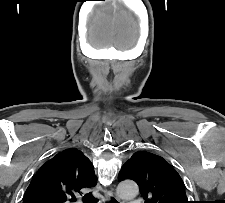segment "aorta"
Masks as SVG:
<instances>
[{"label": "aorta", "instance_id": "obj_1", "mask_svg": "<svg viewBox=\"0 0 225 203\" xmlns=\"http://www.w3.org/2000/svg\"><path fill=\"white\" fill-rule=\"evenodd\" d=\"M138 192V186L133 181H122L117 186V194L123 199L134 198Z\"/></svg>", "mask_w": 225, "mask_h": 203}]
</instances>
